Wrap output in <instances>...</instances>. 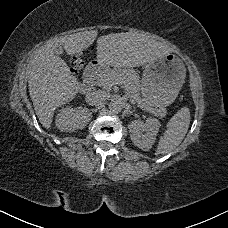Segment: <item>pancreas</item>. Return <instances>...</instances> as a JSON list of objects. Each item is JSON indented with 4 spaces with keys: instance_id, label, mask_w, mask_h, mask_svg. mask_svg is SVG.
Here are the masks:
<instances>
[{
    "instance_id": "pancreas-1",
    "label": "pancreas",
    "mask_w": 228,
    "mask_h": 228,
    "mask_svg": "<svg viewBox=\"0 0 228 228\" xmlns=\"http://www.w3.org/2000/svg\"><path fill=\"white\" fill-rule=\"evenodd\" d=\"M107 78L115 81L114 84L121 86L125 90V92L131 95L133 101L138 102L139 105H141V107L146 112L152 113L155 117L163 118L164 116H166L167 111L165 108H150L140 101V96L138 95V92L140 90V81L137 74L133 71L121 69H106L104 70V72L101 73L100 78L96 81V85L106 89H110V87L114 84H112L110 87L108 86L110 85V83L104 84V81H106Z\"/></svg>"
}]
</instances>
